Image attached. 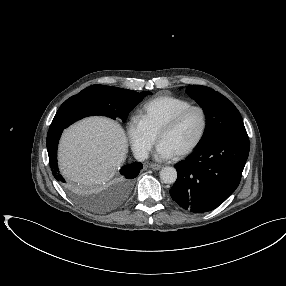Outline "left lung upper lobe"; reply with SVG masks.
I'll list each match as a JSON object with an SVG mask.
<instances>
[{"mask_svg":"<svg viewBox=\"0 0 286 286\" xmlns=\"http://www.w3.org/2000/svg\"><path fill=\"white\" fill-rule=\"evenodd\" d=\"M186 92L206 115V130L198 145L222 136L248 137L240 112L225 96L199 85H189Z\"/></svg>","mask_w":286,"mask_h":286,"instance_id":"obj_1","label":"left lung upper lobe"}]
</instances>
